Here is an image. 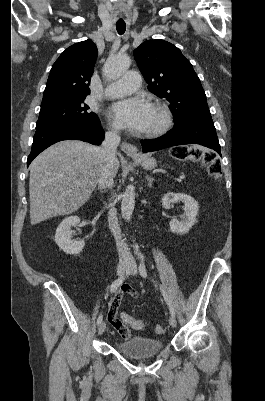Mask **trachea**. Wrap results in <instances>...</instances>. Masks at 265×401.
Returning a JSON list of instances; mask_svg holds the SVG:
<instances>
[{"label":"trachea","mask_w":265,"mask_h":401,"mask_svg":"<svg viewBox=\"0 0 265 401\" xmlns=\"http://www.w3.org/2000/svg\"><path fill=\"white\" fill-rule=\"evenodd\" d=\"M116 29H117V32H118L120 35H122V34L125 32V30H126V24H125V22H117V23H116Z\"/></svg>","instance_id":"obj_1"}]
</instances>
